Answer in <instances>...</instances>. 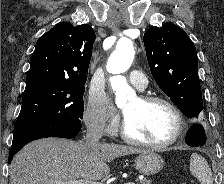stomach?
Wrapping results in <instances>:
<instances>
[{"instance_id":"1","label":"stomach","mask_w":224,"mask_h":184,"mask_svg":"<svg viewBox=\"0 0 224 184\" xmlns=\"http://www.w3.org/2000/svg\"><path fill=\"white\" fill-rule=\"evenodd\" d=\"M134 165L139 173L145 176H152L163 168L164 161L157 153L145 151L135 158Z\"/></svg>"}]
</instances>
